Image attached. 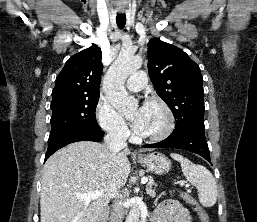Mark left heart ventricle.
Returning a JSON list of instances; mask_svg holds the SVG:
<instances>
[{
    "label": "left heart ventricle",
    "instance_id": "b2bd125f",
    "mask_svg": "<svg viewBox=\"0 0 257 222\" xmlns=\"http://www.w3.org/2000/svg\"><path fill=\"white\" fill-rule=\"evenodd\" d=\"M146 106L145 131L142 135H150L163 129L166 116L162 108L158 105L151 104ZM137 113H134L136 116Z\"/></svg>",
    "mask_w": 257,
    "mask_h": 222
}]
</instances>
